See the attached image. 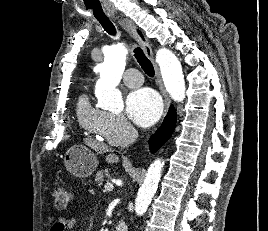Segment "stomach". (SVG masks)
<instances>
[{
	"mask_svg": "<svg viewBox=\"0 0 268 231\" xmlns=\"http://www.w3.org/2000/svg\"><path fill=\"white\" fill-rule=\"evenodd\" d=\"M63 160L67 171L78 178L90 176L98 166L96 155L84 145L70 147Z\"/></svg>",
	"mask_w": 268,
	"mask_h": 231,
	"instance_id": "0dacf381",
	"label": "stomach"
}]
</instances>
